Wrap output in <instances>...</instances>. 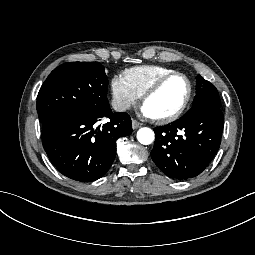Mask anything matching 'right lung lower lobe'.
<instances>
[{"instance_id":"1","label":"right lung lower lobe","mask_w":255,"mask_h":255,"mask_svg":"<svg viewBox=\"0 0 255 255\" xmlns=\"http://www.w3.org/2000/svg\"><path fill=\"white\" fill-rule=\"evenodd\" d=\"M102 117L110 120L98 125ZM102 117L86 110L69 111L42 122V142L52 164L66 177L91 182L102 177L116 156V141L130 135L127 113L111 109Z\"/></svg>"}]
</instances>
